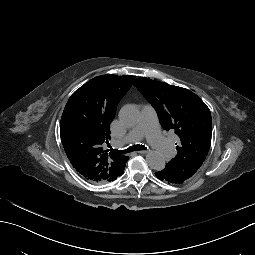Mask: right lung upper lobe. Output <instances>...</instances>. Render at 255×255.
Segmentation results:
<instances>
[{
    "label": "right lung upper lobe",
    "mask_w": 255,
    "mask_h": 255,
    "mask_svg": "<svg viewBox=\"0 0 255 255\" xmlns=\"http://www.w3.org/2000/svg\"><path fill=\"white\" fill-rule=\"evenodd\" d=\"M134 76L101 75L69 98L60 122L61 141L73 167L86 180L105 184L122 175L127 156L107 153L110 124Z\"/></svg>",
    "instance_id": "obj_1"
}]
</instances>
